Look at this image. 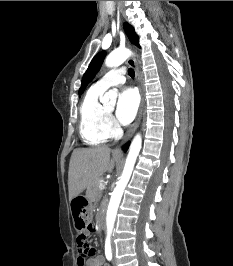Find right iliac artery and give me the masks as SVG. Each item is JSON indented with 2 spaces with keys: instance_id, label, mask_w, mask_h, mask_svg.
Masks as SVG:
<instances>
[{
  "instance_id": "obj_1",
  "label": "right iliac artery",
  "mask_w": 233,
  "mask_h": 266,
  "mask_svg": "<svg viewBox=\"0 0 233 266\" xmlns=\"http://www.w3.org/2000/svg\"><path fill=\"white\" fill-rule=\"evenodd\" d=\"M105 255L106 258L111 261L112 260V250H111V242L110 239H107L105 242Z\"/></svg>"
}]
</instances>
